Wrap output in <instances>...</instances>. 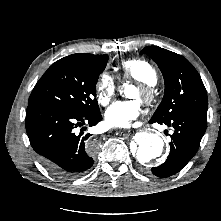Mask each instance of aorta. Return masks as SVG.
Segmentation results:
<instances>
[{
	"label": "aorta",
	"mask_w": 221,
	"mask_h": 221,
	"mask_svg": "<svg viewBox=\"0 0 221 221\" xmlns=\"http://www.w3.org/2000/svg\"><path fill=\"white\" fill-rule=\"evenodd\" d=\"M164 145L163 139L158 134L141 132L135 136V148L132 153L138 163L146 165L162 155Z\"/></svg>",
	"instance_id": "aorta-1"
}]
</instances>
